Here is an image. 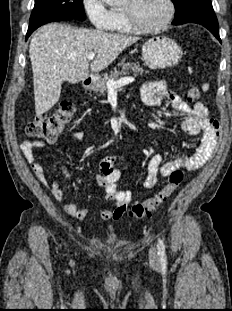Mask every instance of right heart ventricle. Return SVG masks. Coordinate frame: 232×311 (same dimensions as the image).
<instances>
[{
    "instance_id": "right-heart-ventricle-1",
    "label": "right heart ventricle",
    "mask_w": 232,
    "mask_h": 311,
    "mask_svg": "<svg viewBox=\"0 0 232 311\" xmlns=\"http://www.w3.org/2000/svg\"><path fill=\"white\" fill-rule=\"evenodd\" d=\"M114 15H115V21L110 29L113 32L116 33H122V34H129L132 32L131 28L129 27L126 18L124 16V13L121 9H113Z\"/></svg>"
}]
</instances>
